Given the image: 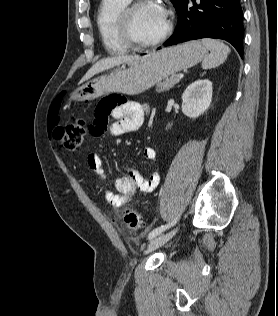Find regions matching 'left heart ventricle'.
<instances>
[{"instance_id": "b2bd125f", "label": "left heart ventricle", "mask_w": 278, "mask_h": 316, "mask_svg": "<svg viewBox=\"0 0 278 316\" xmlns=\"http://www.w3.org/2000/svg\"><path fill=\"white\" fill-rule=\"evenodd\" d=\"M165 26L166 18L161 17L151 3L139 7L133 14L132 29L139 41L149 42L156 39Z\"/></svg>"}]
</instances>
